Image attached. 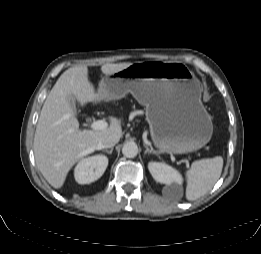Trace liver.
Here are the masks:
<instances>
[{"instance_id":"1","label":"liver","mask_w":261,"mask_h":254,"mask_svg":"<svg viewBox=\"0 0 261 254\" xmlns=\"http://www.w3.org/2000/svg\"><path fill=\"white\" fill-rule=\"evenodd\" d=\"M132 63L103 64L106 76L130 66ZM83 107L89 102L105 101L95 92L88 78L86 65L66 70L48 94L37 123L34 136V155L38 169L54 188L63 186L70 169L80 159L101 149L99 142L107 135L122 136L119 119L109 117L110 125L103 130L79 129V122L69 104L68 97Z\"/></svg>"}]
</instances>
